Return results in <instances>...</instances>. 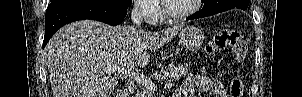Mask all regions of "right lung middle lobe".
Returning <instances> with one entry per match:
<instances>
[{
    "label": "right lung middle lobe",
    "mask_w": 302,
    "mask_h": 97,
    "mask_svg": "<svg viewBox=\"0 0 302 97\" xmlns=\"http://www.w3.org/2000/svg\"><path fill=\"white\" fill-rule=\"evenodd\" d=\"M51 3H58V2H65L69 0H50ZM110 2H113L119 6L125 7L128 9V7L131 5L132 0H107Z\"/></svg>",
    "instance_id": "dd1d6c3e"
}]
</instances>
